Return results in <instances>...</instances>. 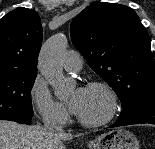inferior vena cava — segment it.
<instances>
[{"label":"inferior vena cava","instance_id":"inferior-vena-cava-1","mask_svg":"<svg viewBox=\"0 0 155 149\" xmlns=\"http://www.w3.org/2000/svg\"><path fill=\"white\" fill-rule=\"evenodd\" d=\"M44 127L50 135H58L63 133L62 123L53 115H45L43 117Z\"/></svg>","mask_w":155,"mask_h":149}]
</instances>
